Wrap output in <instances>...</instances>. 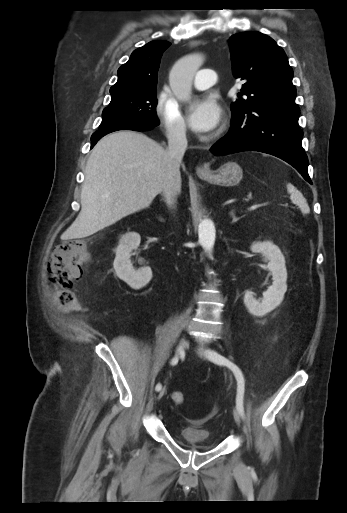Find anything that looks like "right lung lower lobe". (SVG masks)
<instances>
[{"mask_svg":"<svg viewBox=\"0 0 347 513\" xmlns=\"http://www.w3.org/2000/svg\"><path fill=\"white\" fill-rule=\"evenodd\" d=\"M153 127L150 126H144L137 123H121V124H115L112 126H108L105 128H100L98 131H96L91 136V148L97 143V141L105 136L108 133L118 131V130H134V131H147L152 129Z\"/></svg>","mask_w":347,"mask_h":513,"instance_id":"right-lung-lower-lobe-1","label":"right lung lower lobe"}]
</instances>
